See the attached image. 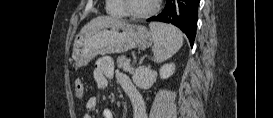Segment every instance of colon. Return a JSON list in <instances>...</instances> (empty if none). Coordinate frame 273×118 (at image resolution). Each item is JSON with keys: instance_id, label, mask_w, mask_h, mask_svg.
I'll return each instance as SVG.
<instances>
[{"instance_id": "colon-1", "label": "colon", "mask_w": 273, "mask_h": 118, "mask_svg": "<svg viewBox=\"0 0 273 118\" xmlns=\"http://www.w3.org/2000/svg\"><path fill=\"white\" fill-rule=\"evenodd\" d=\"M75 95L78 98H82L84 95V84L81 79H76L74 82Z\"/></svg>"}]
</instances>
